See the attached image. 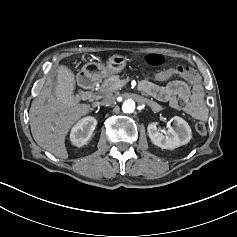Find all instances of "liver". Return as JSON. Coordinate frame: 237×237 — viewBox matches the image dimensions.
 <instances>
[{
  "instance_id": "obj_1",
  "label": "liver",
  "mask_w": 237,
  "mask_h": 237,
  "mask_svg": "<svg viewBox=\"0 0 237 237\" xmlns=\"http://www.w3.org/2000/svg\"><path fill=\"white\" fill-rule=\"evenodd\" d=\"M90 111V105H64L50 93L43 92L32 101L29 111L32 137L42 149L68 159L65 139L70 129Z\"/></svg>"
}]
</instances>
